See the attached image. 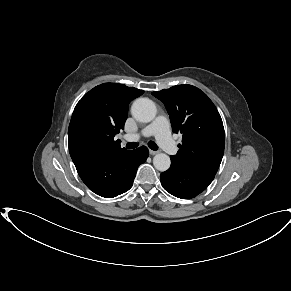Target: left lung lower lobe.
<instances>
[{
  "instance_id": "0a47b994",
  "label": "left lung lower lobe",
  "mask_w": 291,
  "mask_h": 291,
  "mask_svg": "<svg viewBox=\"0 0 291 291\" xmlns=\"http://www.w3.org/2000/svg\"><path fill=\"white\" fill-rule=\"evenodd\" d=\"M171 158L170 168L160 176L163 187L172 195L181 199H190L202 191L214 179L213 176H207L195 172L173 157Z\"/></svg>"
}]
</instances>
